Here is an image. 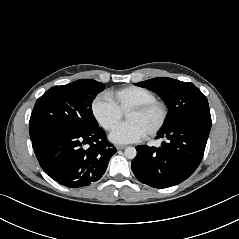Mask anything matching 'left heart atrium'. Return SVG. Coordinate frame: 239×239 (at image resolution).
I'll use <instances>...</instances> for the list:
<instances>
[{"mask_svg":"<svg viewBox=\"0 0 239 239\" xmlns=\"http://www.w3.org/2000/svg\"><path fill=\"white\" fill-rule=\"evenodd\" d=\"M146 131L136 123L126 122L117 126L110 134L116 143L126 144L140 141L146 137Z\"/></svg>","mask_w":239,"mask_h":239,"instance_id":"left-heart-atrium-1","label":"left heart atrium"}]
</instances>
